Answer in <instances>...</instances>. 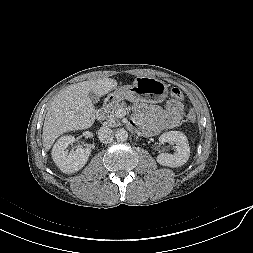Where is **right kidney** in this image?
Returning a JSON list of instances; mask_svg holds the SVG:
<instances>
[{"label": "right kidney", "mask_w": 253, "mask_h": 253, "mask_svg": "<svg viewBox=\"0 0 253 253\" xmlns=\"http://www.w3.org/2000/svg\"><path fill=\"white\" fill-rule=\"evenodd\" d=\"M74 136L65 135L58 139L52 149V158L63 173L79 171L88 161L90 148H79L68 152L67 147L74 141Z\"/></svg>", "instance_id": "ca27d5eb"}]
</instances>
